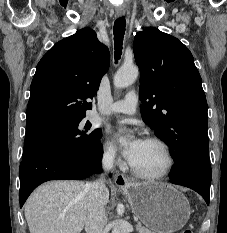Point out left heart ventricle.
<instances>
[{
  "instance_id": "left-heart-ventricle-1",
  "label": "left heart ventricle",
  "mask_w": 227,
  "mask_h": 233,
  "mask_svg": "<svg viewBox=\"0 0 227 233\" xmlns=\"http://www.w3.org/2000/svg\"><path fill=\"white\" fill-rule=\"evenodd\" d=\"M130 163L142 172L155 174L166 167L167 158L160 146L144 141Z\"/></svg>"
}]
</instances>
